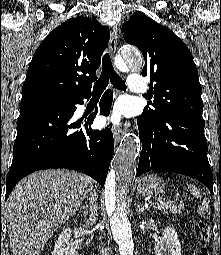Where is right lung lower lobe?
<instances>
[{"mask_svg":"<svg viewBox=\"0 0 221 255\" xmlns=\"http://www.w3.org/2000/svg\"><path fill=\"white\" fill-rule=\"evenodd\" d=\"M90 94L20 108L5 200L26 175L50 168L80 171L104 186L114 153L113 134L108 128H90L98 108L84 120L85 129H79L82 120H71L75 105L83 104V99H89ZM112 99V93L107 90L100 101V114H109Z\"/></svg>","mask_w":221,"mask_h":255,"instance_id":"right-lung-lower-lobe-1","label":"right lung lower lobe"}]
</instances>
